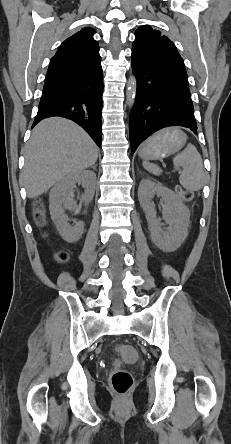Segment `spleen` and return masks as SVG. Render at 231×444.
<instances>
[{
  "instance_id": "1",
  "label": "spleen",
  "mask_w": 231,
  "mask_h": 444,
  "mask_svg": "<svg viewBox=\"0 0 231 444\" xmlns=\"http://www.w3.org/2000/svg\"><path fill=\"white\" fill-rule=\"evenodd\" d=\"M173 164L175 169L180 167L183 169L179 172V182L185 189L197 191L204 186L206 177L203 161L195 146L188 144L182 152L173 158ZM143 167L154 175H160L162 172L157 166L146 160L143 161Z\"/></svg>"
}]
</instances>
